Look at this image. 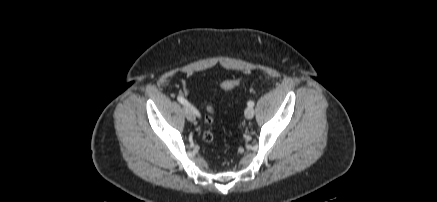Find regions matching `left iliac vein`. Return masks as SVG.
I'll use <instances>...</instances> for the list:
<instances>
[{"mask_svg": "<svg viewBox=\"0 0 437 202\" xmlns=\"http://www.w3.org/2000/svg\"><path fill=\"white\" fill-rule=\"evenodd\" d=\"M253 116H254V109H253V107L248 106V107L245 109V117H246L247 119H252Z\"/></svg>", "mask_w": 437, "mask_h": 202, "instance_id": "4c4485c4", "label": "left iliac vein"}]
</instances>
